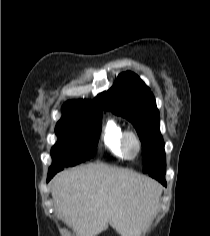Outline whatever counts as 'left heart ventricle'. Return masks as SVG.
<instances>
[{"label": "left heart ventricle", "instance_id": "left-heart-ventricle-1", "mask_svg": "<svg viewBox=\"0 0 210 236\" xmlns=\"http://www.w3.org/2000/svg\"><path fill=\"white\" fill-rule=\"evenodd\" d=\"M128 152L130 155H134L136 152V145L133 141H129L128 143Z\"/></svg>", "mask_w": 210, "mask_h": 236}]
</instances>
